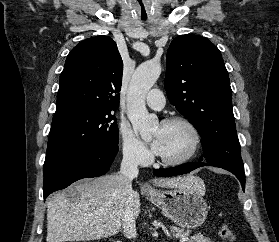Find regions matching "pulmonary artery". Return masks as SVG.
Masks as SVG:
<instances>
[{
    "label": "pulmonary artery",
    "mask_w": 279,
    "mask_h": 242,
    "mask_svg": "<svg viewBox=\"0 0 279 242\" xmlns=\"http://www.w3.org/2000/svg\"><path fill=\"white\" fill-rule=\"evenodd\" d=\"M146 102L153 109H161L165 105V98L161 90L152 89L146 97Z\"/></svg>",
    "instance_id": "obj_1"
}]
</instances>
